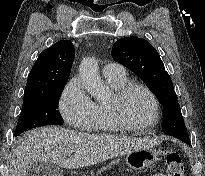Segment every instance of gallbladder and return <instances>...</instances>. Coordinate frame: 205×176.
<instances>
[{
	"label": "gallbladder",
	"instance_id": "bac80fb5",
	"mask_svg": "<svg viewBox=\"0 0 205 176\" xmlns=\"http://www.w3.org/2000/svg\"><path fill=\"white\" fill-rule=\"evenodd\" d=\"M27 176H63L62 169L53 163L36 162L27 170Z\"/></svg>",
	"mask_w": 205,
	"mask_h": 176
}]
</instances>
